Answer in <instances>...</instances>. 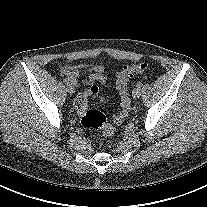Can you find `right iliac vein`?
<instances>
[{"label": "right iliac vein", "mask_w": 207, "mask_h": 207, "mask_svg": "<svg viewBox=\"0 0 207 207\" xmlns=\"http://www.w3.org/2000/svg\"><path fill=\"white\" fill-rule=\"evenodd\" d=\"M66 89L69 94H73L75 92V89L71 84H68Z\"/></svg>", "instance_id": "right-iliac-vein-1"}]
</instances>
